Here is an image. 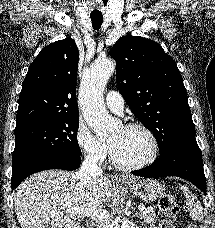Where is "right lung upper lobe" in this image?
<instances>
[{"instance_id": "right-lung-upper-lobe-1", "label": "right lung upper lobe", "mask_w": 215, "mask_h": 228, "mask_svg": "<svg viewBox=\"0 0 215 228\" xmlns=\"http://www.w3.org/2000/svg\"><path fill=\"white\" fill-rule=\"evenodd\" d=\"M78 60V48L69 37L42 49L23 81L16 124L79 116L76 101Z\"/></svg>"}]
</instances>
